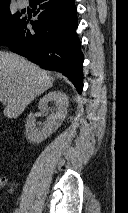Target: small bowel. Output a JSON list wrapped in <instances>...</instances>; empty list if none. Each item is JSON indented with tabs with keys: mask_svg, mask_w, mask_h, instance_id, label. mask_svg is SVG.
<instances>
[{
	"mask_svg": "<svg viewBox=\"0 0 128 213\" xmlns=\"http://www.w3.org/2000/svg\"><path fill=\"white\" fill-rule=\"evenodd\" d=\"M13 213H20L18 209H16Z\"/></svg>",
	"mask_w": 128,
	"mask_h": 213,
	"instance_id": "1",
	"label": "small bowel"
}]
</instances>
